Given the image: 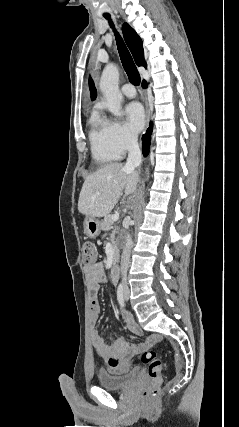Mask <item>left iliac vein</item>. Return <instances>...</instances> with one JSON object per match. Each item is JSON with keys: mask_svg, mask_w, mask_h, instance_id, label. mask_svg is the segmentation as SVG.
I'll return each mask as SVG.
<instances>
[{"mask_svg": "<svg viewBox=\"0 0 239 427\" xmlns=\"http://www.w3.org/2000/svg\"><path fill=\"white\" fill-rule=\"evenodd\" d=\"M124 297H125V300L127 301V300H128V298H129V291H128V289H126V290H125V295H124Z\"/></svg>", "mask_w": 239, "mask_h": 427, "instance_id": "left-iliac-vein-1", "label": "left iliac vein"}]
</instances>
